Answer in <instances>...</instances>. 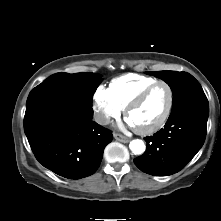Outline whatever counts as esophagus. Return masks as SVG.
Instances as JSON below:
<instances>
[{"label": "esophagus", "mask_w": 221, "mask_h": 221, "mask_svg": "<svg viewBox=\"0 0 221 221\" xmlns=\"http://www.w3.org/2000/svg\"><path fill=\"white\" fill-rule=\"evenodd\" d=\"M114 138L117 140V141H120L122 143H128L130 141V139L122 134H119V133H115L114 134Z\"/></svg>", "instance_id": "34e87169"}]
</instances>
